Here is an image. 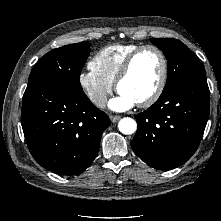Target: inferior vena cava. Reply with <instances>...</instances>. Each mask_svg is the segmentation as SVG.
I'll use <instances>...</instances> for the list:
<instances>
[{
    "mask_svg": "<svg viewBox=\"0 0 221 221\" xmlns=\"http://www.w3.org/2000/svg\"><path fill=\"white\" fill-rule=\"evenodd\" d=\"M91 101L98 107H103L107 102V94L105 93L95 94L91 97Z\"/></svg>",
    "mask_w": 221,
    "mask_h": 221,
    "instance_id": "602c4592",
    "label": "inferior vena cava"
}]
</instances>
